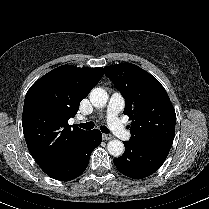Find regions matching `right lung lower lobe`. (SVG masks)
Here are the masks:
<instances>
[{
    "mask_svg": "<svg viewBox=\"0 0 209 209\" xmlns=\"http://www.w3.org/2000/svg\"><path fill=\"white\" fill-rule=\"evenodd\" d=\"M102 134L98 129L87 131L66 156L46 174L53 179L70 181L80 176L87 168L90 152L100 145Z\"/></svg>",
    "mask_w": 209,
    "mask_h": 209,
    "instance_id": "obj_1",
    "label": "right lung lower lobe"
}]
</instances>
